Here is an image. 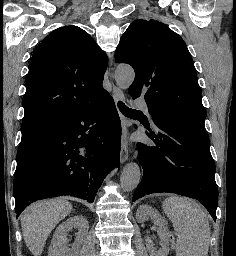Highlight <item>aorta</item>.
Returning a JSON list of instances; mask_svg holds the SVG:
<instances>
[{"label":"aorta","mask_w":236,"mask_h":256,"mask_svg":"<svg viewBox=\"0 0 236 256\" xmlns=\"http://www.w3.org/2000/svg\"><path fill=\"white\" fill-rule=\"evenodd\" d=\"M135 78V72L132 67L128 65H121L118 66L115 71V80L117 85L123 89L126 90L130 87V85L133 83ZM140 168L138 164L136 163H128L120 177L121 186L124 191H132L134 190L137 185L140 183Z\"/></svg>","instance_id":"762f6f07"}]
</instances>
